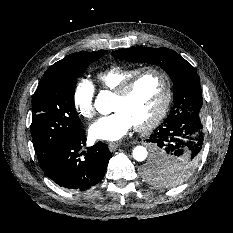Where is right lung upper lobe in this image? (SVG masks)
Instances as JSON below:
<instances>
[{
    "mask_svg": "<svg viewBox=\"0 0 233 233\" xmlns=\"http://www.w3.org/2000/svg\"><path fill=\"white\" fill-rule=\"evenodd\" d=\"M80 53L81 52L70 54V55L66 56L64 59H62V60L56 62L55 64H53L52 66H50L46 72L48 73V72L58 70L59 68L75 61L79 57Z\"/></svg>",
    "mask_w": 233,
    "mask_h": 233,
    "instance_id": "1",
    "label": "right lung upper lobe"
}]
</instances>
